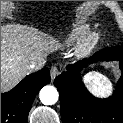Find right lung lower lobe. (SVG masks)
<instances>
[{
	"label": "right lung lower lobe",
	"mask_w": 123,
	"mask_h": 123,
	"mask_svg": "<svg viewBox=\"0 0 123 123\" xmlns=\"http://www.w3.org/2000/svg\"><path fill=\"white\" fill-rule=\"evenodd\" d=\"M48 68L28 75L15 88L1 94V123H27L38 91L50 82Z\"/></svg>",
	"instance_id": "right-lung-lower-lobe-1"
}]
</instances>
